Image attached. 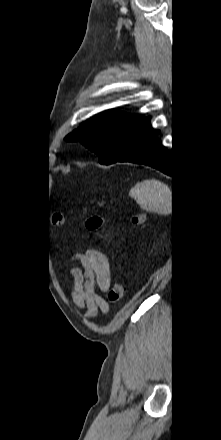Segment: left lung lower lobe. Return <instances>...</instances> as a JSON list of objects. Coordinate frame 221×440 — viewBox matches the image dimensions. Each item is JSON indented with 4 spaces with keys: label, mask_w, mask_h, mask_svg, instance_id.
Listing matches in <instances>:
<instances>
[{
    "label": "left lung lower lobe",
    "mask_w": 221,
    "mask_h": 440,
    "mask_svg": "<svg viewBox=\"0 0 221 440\" xmlns=\"http://www.w3.org/2000/svg\"><path fill=\"white\" fill-rule=\"evenodd\" d=\"M157 134L158 131L151 128L150 117L144 118L136 127L125 153L116 162L144 164L174 178L177 172L174 158L172 164L170 153L158 143Z\"/></svg>",
    "instance_id": "obj_1"
}]
</instances>
